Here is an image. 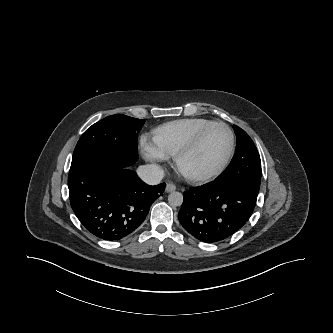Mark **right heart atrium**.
Returning a JSON list of instances; mask_svg holds the SVG:
<instances>
[{
  "instance_id": "1",
  "label": "right heart atrium",
  "mask_w": 333,
  "mask_h": 333,
  "mask_svg": "<svg viewBox=\"0 0 333 333\" xmlns=\"http://www.w3.org/2000/svg\"><path fill=\"white\" fill-rule=\"evenodd\" d=\"M140 147L143 156L154 165H159V163L164 161L167 157L154 144L150 143L145 138L141 140Z\"/></svg>"
}]
</instances>
